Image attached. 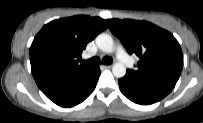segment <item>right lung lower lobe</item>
I'll return each mask as SVG.
<instances>
[{
    "label": "right lung lower lobe",
    "instance_id": "1",
    "mask_svg": "<svg viewBox=\"0 0 203 123\" xmlns=\"http://www.w3.org/2000/svg\"><path fill=\"white\" fill-rule=\"evenodd\" d=\"M100 68L52 72L35 78L40 90L55 104L72 107L83 102L95 89Z\"/></svg>",
    "mask_w": 203,
    "mask_h": 123
}]
</instances>
